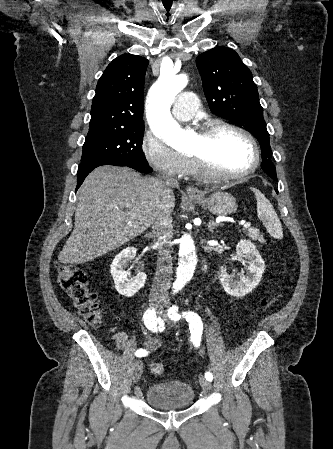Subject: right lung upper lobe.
Wrapping results in <instances>:
<instances>
[{
	"instance_id": "right-lung-upper-lobe-1",
	"label": "right lung upper lobe",
	"mask_w": 333,
	"mask_h": 449,
	"mask_svg": "<svg viewBox=\"0 0 333 449\" xmlns=\"http://www.w3.org/2000/svg\"><path fill=\"white\" fill-rule=\"evenodd\" d=\"M149 61L123 54L114 59L98 81L89 128L143 124V91Z\"/></svg>"
}]
</instances>
